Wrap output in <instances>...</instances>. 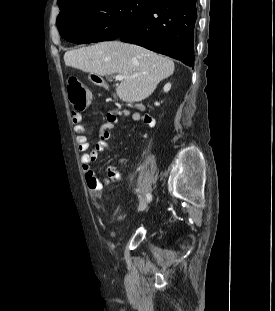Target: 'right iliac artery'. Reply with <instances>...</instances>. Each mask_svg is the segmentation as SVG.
Masks as SVG:
<instances>
[{
    "label": "right iliac artery",
    "mask_w": 275,
    "mask_h": 311,
    "mask_svg": "<svg viewBox=\"0 0 275 311\" xmlns=\"http://www.w3.org/2000/svg\"><path fill=\"white\" fill-rule=\"evenodd\" d=\"M146 197H147V200H148V201H151L152 195H151L150 193H147V194H146Z\"/></svg>",
    "instance_id": "82829eb1"
}]
</instances>
